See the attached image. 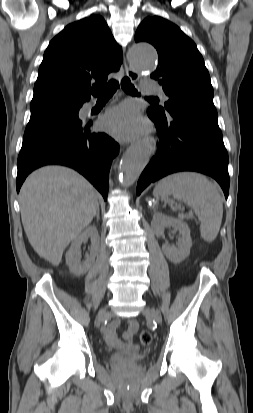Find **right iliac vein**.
Returning a JSON list of instances; mask_svg holds the SVG:
<instances>
[{
  "label": "right iliac vein",
  "mask_w": 253,
  "mask_h": 413,
  "mask_svg": "<svg viewBox=\"0 0 253 413\" xmlns=\"http://www.w3.org/2000/svg\"><path fill=\"white\" fill-rule=\"evenodd\" d=\"M107 315V309L104 308L99 312L98 319L101 320Z\"/></svg>",
  "instance_id": "obj_1"
}]
</instances>
